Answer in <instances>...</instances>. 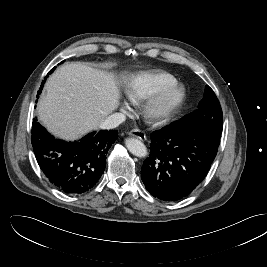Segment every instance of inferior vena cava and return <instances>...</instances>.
<instances>
[{
	"label": "inferior vena cava",
	"mask_w": 267,
	"mask_h": 267,
	"mask_svg": "<svg viewBox=\"0 0 267 267\" xmlns=\"http://www.w3.org/2000/svg\"><path fill=\"white\" fill-rule=\"evenodd\" d=\"M125 120V115L122 113H114L109 115L103 122L100 123L101 129H113L120 125Z\"/></svg>",
	"instance_id": "inferior-vena-cava-1"
}]
</instances>
